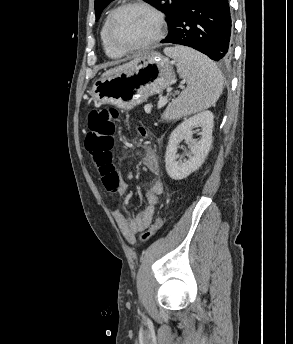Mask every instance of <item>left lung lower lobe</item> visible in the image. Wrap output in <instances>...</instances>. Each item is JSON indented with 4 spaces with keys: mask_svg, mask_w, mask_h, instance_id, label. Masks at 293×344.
Returning a JSON list of instances; mask_svg holds the SVG:
<instances>
[{
    "mask_svg": "<svg viewBox=\"0 0 293 344\" xmlns=\"http://www.w3.org/2000/svg\"><path fill=\"white\" fill-rule=\"evenodd\" d=\"M231 16L228 0H182L161 43L192 47L215 61H229Z\"/></svg>",
    "mask_w": 293,
    "mask_h": 344,
    "instance_id": "obj_1",
    "label": "left lung lower lobe"
}]
</instances>
